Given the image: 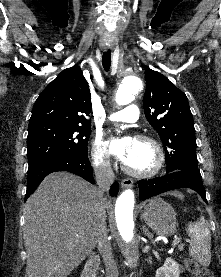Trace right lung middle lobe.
<instances>
[{"label":"right lung middle lobe","mask_w":221,"mask_h":277,"mask_svg":"<svg viewBox=\"0 0 221 277\" xmlns=\"http://www.w3.org/2000/svg\"><path fill=\"white\" fill-rule=\"evenodd\" d=\"M90 125L44 124L28 127V173L76 154H87Z\"/></svg>","instance_id":"1"}]
</instances>
